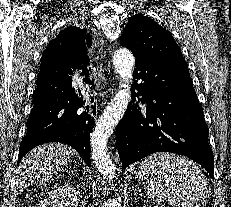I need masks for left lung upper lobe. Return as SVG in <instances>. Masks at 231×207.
I'll use <instances>...</instances> for the list:
<instances>
[{
	"instance_id": "left-lung-upper-lobe-1",
	"label": "left lung upper lobe",
	"mask_w": 231,
	"mask_h": 207,
	"mask_svg": "<svg viewBox=\"0 0 231 207\" xmlns=\"http://www.w3.org/2000/svg\"><path fill=\"white\" fill-rule=\"evenodd\" d=\"M121 45L137 58L188 71V65L172 34L143 14L129 18L121 35Z\"/></svg>"
}]
</instances>
